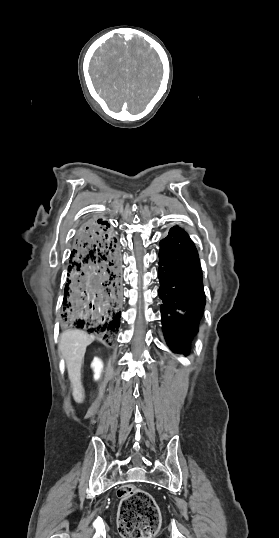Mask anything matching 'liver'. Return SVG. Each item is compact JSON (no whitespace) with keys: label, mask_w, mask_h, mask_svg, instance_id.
<instances>
[{"label":"liver","mask_w":279,"mask_h":538,"mask_svg":"<svg viewBox=\"0 0 279 538\" xmlns=\"http://www.w3.org/2000/svg\"><path fill=\"white\" fill-rule=\"evenodd\" d=\"M93 340L94 336H89L82 330H65L61 334L59 350L66 362L68 378L71 382V388H73L72 396L78 404H81L84 398L81 384V366L86 348Z\"/></svg>","instance_id":"1"}]
</instances>
